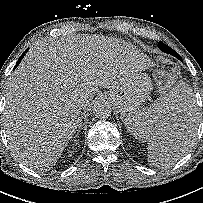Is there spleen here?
<instances>
[{
    "instance_id": "1",
    "label": "spleen",
    "mask_w": 203,
    "mask_h": 203,
    "mask_svg": "<svg viewBox=\"0 0 203 203\" xmlns=\"http://www.w3.org/2000/svg\"><path fill=\"white\" fill-rule=\"evenodd\" d=\"M166 120L185 128L183 140L160 137V127ZM196 103L192 88L181 81L148 109L135 111L125 125L136 139L148 141V160L153 166H170L184 156L192 146L196 132Z\"/></svg>"
}]
</instances>
